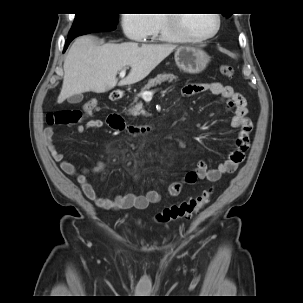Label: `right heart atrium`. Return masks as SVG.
Instances as JSON below:
<instances>
[{"label":"right heart atrium","instance_id":"1","mask_svg":"<svg viewBox=\"0 0 303 303\" xmlns=\"http://www.w3.org/2000/svg\"><path fill=\"white\" fill-rule=\"evenodd\" d=\"M120 23L126 38L134 41L146 40L155 27L151 14H123Z\"/></svg>","mask_w":303,"mask_h":303}]
</instances>
